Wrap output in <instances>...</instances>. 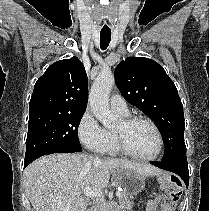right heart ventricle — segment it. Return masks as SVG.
<instances>
[{
	"instance_id": "right-heart-ventricle-1",
	"label": "right heart ventricle",
	"mask_w": 209,
	"mask_h": 211,
	"mask_svg": "<svg viewBox=\"0 0 209 211\" xmlns=\"http://www.w3.org/2000/svg\"><path fill=\"white\" fill-rule=\"evenodd\" d=\"M100 152L102 154L109 156H117L120 154V151L116 143L114 131L107 130V140L103 145V147L100 149Z\"/></svg>"
}]
</instances>
